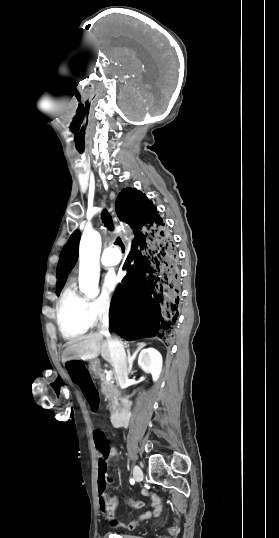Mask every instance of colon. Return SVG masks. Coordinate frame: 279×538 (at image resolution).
Wrapping results in <instances>:
<instances>
[{"instance_id":"1","label":"colon","mask_w":279,"mask_h":538,"mask_svg":"<svg viewBox=\"0 0 279 538\" xmlns=\"http://www.w3.org/2000/svg\"><path fill=\"white\" fill-rule=\"evenodd\" d=\"M94 443L98 453V488L100 506L107 519L114 517V500L107 491V467L110 459L111 447L106 434L101 430L93 432Z\"/></svg>"}]
</instances>
